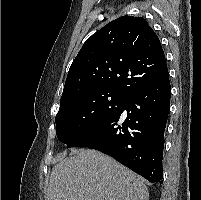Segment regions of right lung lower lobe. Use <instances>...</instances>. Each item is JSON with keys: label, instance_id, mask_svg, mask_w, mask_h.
I'll use <instances>...</instances> for the list:
<instances>
[{"label": "right lung lower lobe", "instance_id": "98d812e1", "mask_svg": "<svg viewBox=\"0 0 201 200\" xmlns=\"http://www.w3.org/2000/svg\"><path fill=\"white\" fill-rule=\"evenodd\" d=\"M169 73L131 93L104 120L67 146L88 147L112 156L150 182H163L164 132L170 109ZM127 111L123 120L122 113Z\"/></svg>", "mask_w": 201, "mask_h": 200}]
</instances>
